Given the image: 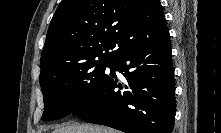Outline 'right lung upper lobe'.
I'll list each match as a JSON object with an SVG mask.
<instances>
[{"label": "right lung upper lobe", "instance_id": "obj_1", "mask_svg": "<svg viewBox=\"0 0 221 133\" xmlns=\"http://www.w3.org/2000/svg\"><path fill=\"white\" fill-rule=\"evenodd\" d=\"M167 37L159 0H62L48 29L40 75L60 64L114 62Z\"/></svg>", "mask_w": 221, "mask_h": 133}]
</instances>
